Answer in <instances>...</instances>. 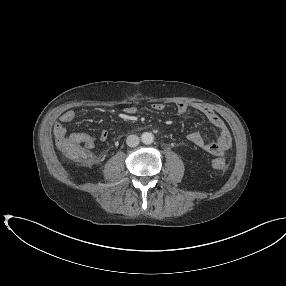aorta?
<instances>
[{
  "label": "aorta",
  "mask_w": 286,
  "mask_h": 286,
  "mask_svg": "<svg viewBox=\"0 0 286 286\" xmlns=\"http://www.w3.org/2000/svg\"><path fill=\"white\" fill-rule=\"evenodd\" d=\"M141 140L144 144L149 145L154 141V135L151 132H144L141 135Z\"/></svg>",
  "instance_id": "1"
}]
</instances>
